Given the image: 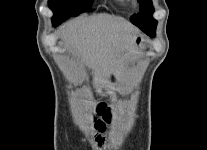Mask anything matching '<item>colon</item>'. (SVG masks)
Masks as SVG:
<instances>
[{
  "mask_svg": "<svg viewBox=\"0 0 207 150\" xmlns=\"http://www.w3.org/2000/svg\"><path fill=\"white\" fill-rule=\"evenodd\" d=\"M98 113L100 116H102L103 120H99L98 123H97V127L100 131H104L105 128H106V122H108L109 118H110V115L108 113V111L105 110L104 107H100L98 109Z\"/></svg>",
  "mask_w": 207,
  "mask_h": 150,
  "instance_id": "5ec220e1",
  "label": "colon"
}]
</instances>
